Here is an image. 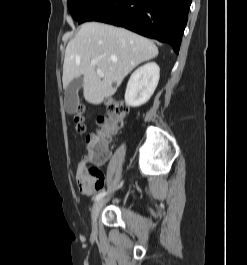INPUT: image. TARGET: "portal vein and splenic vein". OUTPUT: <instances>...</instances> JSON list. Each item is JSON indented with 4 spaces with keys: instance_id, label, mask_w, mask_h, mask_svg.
Instances as JSON below:
<instances>
[{
    "instance_id": "1",
    "label": "portal vein and splenic vein",
    "mask_w": 247,
    "mask_h": 265,
    "mask_svg": "<svg viewBox=\"0 0 247 265\" xmlns=\"http://www.w3.org/2000/svg\"><path fill=\"white\" fill-rule=\"evenodd\" d=\"M92 64H93V65H96L97 62H96V61H92ZM97 73H98V75H99L101 78L104 77V72L102 71V69L97 68Z\"/></svg>"
}]
</instances>
